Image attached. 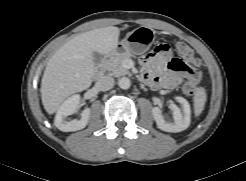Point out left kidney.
Masks as SVG:
<instances>
[{
	"label": "left kidney",
	"instance_id": "1",
	"mask_svg": "<svg viewBox=\"0 0 246 181\" xmlns=\"http://www.w3.org/2000/svg\"><path fill=\"white\" fill-rule=\"evenodd\" d=\"M175 100L181 104L182 109L175 104H170L169 108L173 114V122L164 118L159 107H154L152 109V114L154 120L156 121L157 127L162 131L173 133L181 132L187 129L190 125L191 110L188 101L180 96L175 97Z\"/></svg>",
	"mask_w": 246,
	"mask_h": 181
}]
</instances>
